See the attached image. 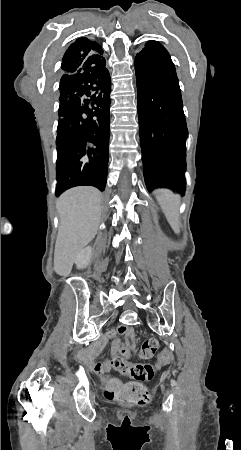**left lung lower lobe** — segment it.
<instances>
[{
	"mask_svg": "<svg viewBox=\"0 0 241 450\" xmlns=\"http://www.w3.org/2000/svg\"><path fill=\"white\" fill-rule=\"evenodd\" d=\"M135 72L146 187L184 195L188 130L175 66L162 45L145 47L136 55Z\"/></svg>",
	"mask_w": 241,
	"mask_h": 450,
	"instance_id": "obj_1",
	"label": "left lung lower lobe"
}]
</instances>
